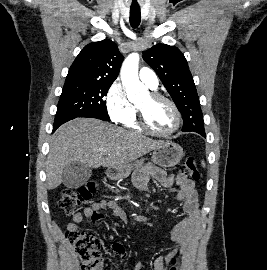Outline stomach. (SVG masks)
I'll return each instance as SVG.
<instances>
[{"instance_id":"1","label":"stomach","mask_w":267,"mask_h":270,"mask_svg":"<svg viewBox=\"0 0 267 270\" xmlns=\"http://www.w3.org/2000/svg\"><path fill=\"white\" fill-rule=\"evenodd\" d=\"M183 157V149L174 142H164L153 150L152 161L160 167H173L180 162ZM145 159L136 160L134 164H127L122 167H110L107 169V176L110 179L118 180L126 178L131 171L144 165Z\"/></svg>"}]
</instances>
